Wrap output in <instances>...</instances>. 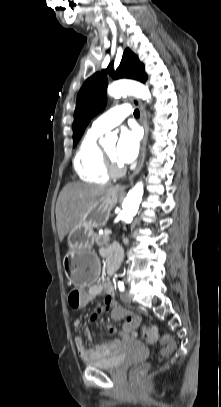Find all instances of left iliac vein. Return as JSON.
<instances>
[{"instance_id": "left-iliac-vein-1", "label": "left iliac vein", "mask_w": 221, "mask_h": 407, "mask_svg": "<svg viewBox=\"0 0 221 407\" xmlns=\"http://www.w3.org/2000/svg\"><path fill=\"white\" fill-rule=\"evenodd\" d=\"M121 300L125 304L131 303V296L128 291H125L121 294Z\"/></svg>"}]
</instances>
